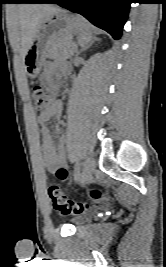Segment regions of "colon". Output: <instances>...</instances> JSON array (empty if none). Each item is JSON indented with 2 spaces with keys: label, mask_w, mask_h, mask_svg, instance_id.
<instances>
[{
  "label": "colon",
  "mask_w": 166,
  "mask_h": 267,
  "mask_svg": "<svg viewBox=\"0 0 166 267\" xmlns=\"http://www.w3.org/2000/svg\"><path fill=\"white\" fill-rule=\"evenodd\" d=\"M31 98L34 108L43 112L54 104V95L42 86H34L31 89ZM48 196L52 202L54 209L62 214H82L88 209V205L82 202H76L69 199L54 183L48 186ZM92 196L99 198L100 193L93 191Z\"/></svg>",
  "instance_id": "colon-1"
}]
</instances>
